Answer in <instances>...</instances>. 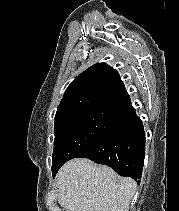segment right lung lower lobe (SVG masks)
Instances as JSON below:
<instances>
[{
  "instance_id": "obj_1",
  "label": "right lung lower lobe",
  "mask_w": 179,
  "mask_h": 211,
  "mask_svg": "<svg viewBox=\"0 0 179 211\" xmlns=\"http://www.w3.org/2000/svg\"><path fill=\"white\" fill-rule=\"evenodd\" d=\"M77 157L114 169L119 175L140 183L145 157V133L142 121L129 103L106 135ZM60 167L52 170L55 177Z\"/></svg>"
}]
</instances>
